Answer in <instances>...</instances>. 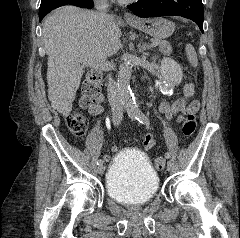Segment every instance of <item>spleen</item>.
<instances>
[{
    "mask_svg": "<svg viewBox=\"0 0 240 238\" xmlns=\"http://www.w3.org/2000/svg\"><path fill=\"white\" fill-rule=\"evenodd\" d=\"M185 50H186L188 61L191 63L193 67H197L198 58H197L195 48L191 44H187Z\"/></svg>",
    "mask_w": 240,
    "mask_h": 238,
    "instance_id": "spleen-1",
    "label": "spleen"
}]
</instances>
